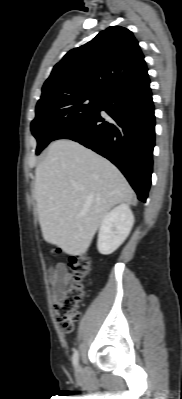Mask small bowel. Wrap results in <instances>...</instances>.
<instances>
[{"label": "small bowel", "mask_w": 182, "mask_h": 399, "mask_svg": "<svg viewBox=\"0 0 182 399\" xmlns=\"http://www.w3.org/2000/svg\"><path fill=\"white\" fill-rule=\"evenodd\" d=\"M49 279L52 296L57 303L71 280V274L63 263H58L50 269Z\"/></svg>", "instance_id": "small-bowel-1"}]
</instances>
